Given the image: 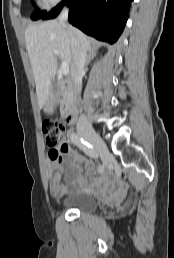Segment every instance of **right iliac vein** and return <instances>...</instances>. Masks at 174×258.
<instances>
[{"label":"right iliac vein","instance_id":"1","mask_svg":"<svg viewBox=\"0 0 174 258\" xmlns=\"http://www.w3.org/2000/svg\"><path fill=\"white\" fill-rule=\"evenodd\" d=\"M83 137L94 146V148L100 155L104 165H108L109 151L100 136L94 130H90L84 133Z\"/></svg>","mask_w":174,"mask_h":258}]
</instances>
